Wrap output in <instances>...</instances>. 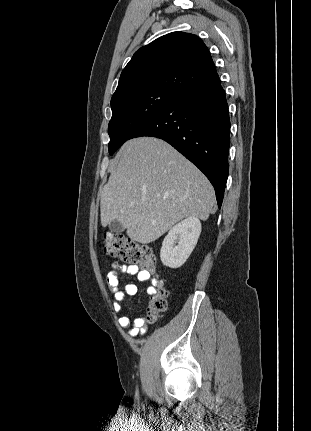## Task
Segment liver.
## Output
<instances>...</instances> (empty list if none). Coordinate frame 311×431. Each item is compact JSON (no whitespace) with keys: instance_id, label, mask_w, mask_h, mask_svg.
<instances>
[{"instance_id":"1","label":"liver","mask_w":311,"mask_h":431,"mask_svg":"<svg viewBox=\"0 0 311 431\" xmlns=\"http://www.w3.org/2000/svg\"><path fill=\"white\" fill-rule=\"evenodd\" d=\"M119 154L101 194L103 227L117 219L132 241L150 243L183 217L208 219L213 186L172 146L157 138H134Z\"/></svg>"}]
</instances>
